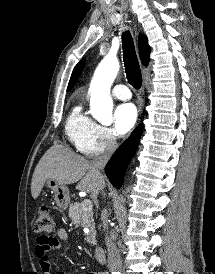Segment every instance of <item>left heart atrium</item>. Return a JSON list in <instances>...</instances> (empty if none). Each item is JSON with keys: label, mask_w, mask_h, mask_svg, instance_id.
Returning a JSON list of instances; mask_svg holds the SVG:
<instances>
[{"label": "left heart atrium", "mask_w": 215, "mask_h": 274, "mask_svg": "<svg viewBox=\"0 0 215 274\" xmlns=\"http://www.w3.org/2000/svg\"><path fill=\"white\" fill-rule=\"evenodd\" d=\"M113 120L116 134L119 136L127 134L136 124V107L131 103L118 105L114 111Z\"/></svg>", "instance_id": "39dd6f15"}]
</instances>
